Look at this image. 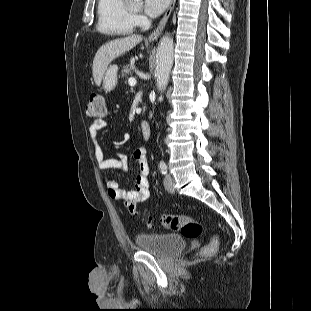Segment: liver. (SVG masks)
<instances>
[{"label":"liver","instance_id":"liver-1","mask_svg":"<svg viewBox=\"0 0 311 311\" xmlns=\"http://www.w3.org/2000/svg\"><path fill=\"white\" fill-rule=\"evenodd\" d=\"M141 35H131L118 38L101 46L93 60V78L97 86L101 85L103 75L108 65L116 58L130 51L142 41Z\"/></svg>","mask_w":311,"mask_h":311}]
</instances>
